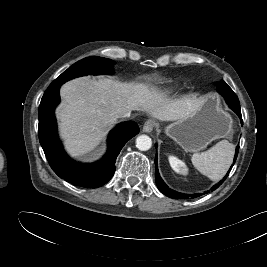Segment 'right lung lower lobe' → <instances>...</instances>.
<instances>
[{
    "instance_id": "obj_1",
    "label": "right lung lower lobe",
    "mask_w": 267,
    "mask_h": 267,
    "mask_svg": "<svg viewBox=\"0 0 267 267\" xmlns=\"http://www.w3.org/2000/svg\"><path fill=\"white\" fill-rule=\"evenodd\" d=\"M60 86L44 93L39 106V140L53 171L65 181L77 186L97 188L113 176L115 160L125 143L139 133L133 121L123 122L108 137L107 154L94 164H81L70 159L57 137L54 109L60 101Z\"/></svg>"
}]
</instances>
